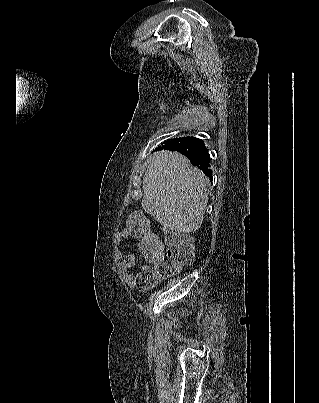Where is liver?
I'll use <instances>...</instances> for the list:
<instances>
[{
	"label": "liver",
	"mask_w": 319,
	"mask_h": 403,
	"mask_svg": "<svg viewBox=\"0 0 319 403\" xmlns=\"http://www.w3.org/2000/svg\"><path fill=\"white\" fill-rule=\"evenodd\" d=\"M207 183L205 175L185 156L159 151L143 178L142 208L167 229L195 232L208 202Z\"/></svg>",
	"instance_id": "1"
}]
</instances>
